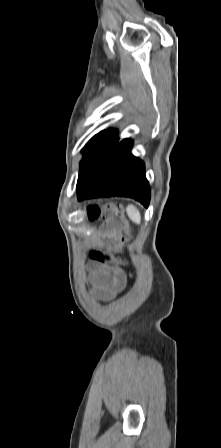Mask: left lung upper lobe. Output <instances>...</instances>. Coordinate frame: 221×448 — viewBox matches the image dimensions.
Returning a JSON list of instances; mask_svg holds the SVG:
<instances>
[{
	"label": "left lung upper lobe",
	"instance_id": "1",
	"mask_svg": "<svg viewBox=\"0 0 221 448\" xmlns=\"http://www.w3.org/2000/svg\"><path fill=\"white\" fill-rule=\"evenodd\" d=\"M125 141L126 139L120 142L117 131L113 129L95 135L82 150L84 156L80 162L81 169L96 163L106 152L115 149Z\"/></svg>",
	"mask_w": 221,
	"mask_h": 448
}]
</instances>
